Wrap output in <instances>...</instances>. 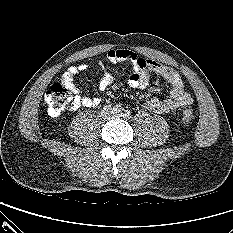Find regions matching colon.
<instances>
[{"instance_id": "5ec220e1", "label": "colon", "mask_w": 233, "mask_h": 233, "mask_svg": "<svg viewBox=\"0 0 233 233\" xmlns=\"http://www.w3.org/2000/svg\"><path fill=\"white\" fill-rule=\"evenodd\" d=\"M45 103L48 109V113L51 116L60 115L67 105L73 102L72 92L63 84H53L45 94ZM195 113L190 105H185L180 111V121L184 124H188L193 121Z\"/></svg>"}]
</instances>
